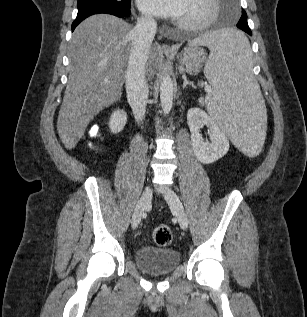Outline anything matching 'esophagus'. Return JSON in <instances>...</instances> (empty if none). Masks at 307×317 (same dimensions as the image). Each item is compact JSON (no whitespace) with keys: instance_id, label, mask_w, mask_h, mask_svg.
Segmentation results:
<instances>
[{"instance_id":"34e87169","label":"esophagus","mask_w":307,"mask_h":317,"mask_svg":"<svg viewBox=\"0 0 307 317\" xmlns=\"http://www.w3.org/2000/svg\"><path fill=\"white\" fill-rule=\"evenodd\" d=\"M161 50H162V52H164V53H173L174 52V50L170 47V45H168V44H163L162 46H161Z\"/></svg>"}]
</instances>
